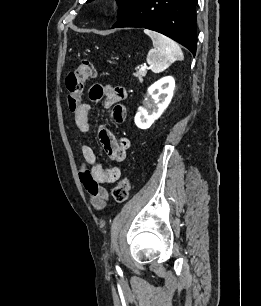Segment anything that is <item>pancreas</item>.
I'll use <instances>...</instances> for the list:
<instances>
[{
  "instance_id": "1",
  "label": "pancreas",
  "mask_w": 261,
  "mask_h": 306,
  "mask_svg": "<svg viewBox=\"0 0 261 306\" xmlns=\"http://www.w3.org/2000/svg\"><path fill=\"white\" fill-rule=\"evenodd\" d=\"M146 71H137L136 73H134L133 75L135 76V77H137L138 79H139V81L140 82H142L143 81V77H145L146 76Z\"/></svg>"
}]
</instances>
